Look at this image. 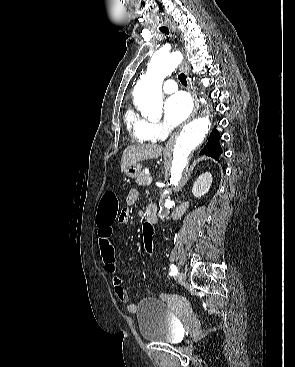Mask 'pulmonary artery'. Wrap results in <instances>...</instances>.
<instances>
[{
	"label": "pulmonary artery",
	"mask_w": 295,
	"mask_h": 367,
	"mask_svg": "<svg viewBox=\"0 0 295 367\" xmlns=\"http://www.w3.org/2000/svg\"><path fill=\"white\" fill-rule=\"evenodd\" d=\"M178 89L177 83L174 80H167L163 85V91L167 94L173 93Z\"/></svg>",
	"instance_id": "e3ab8cb5"
}]
</instances>
